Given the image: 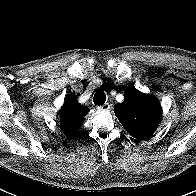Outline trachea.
<instances>
[{
    "label": "trachea",
    "instance_id": "trachea-1",
    "mask_svg": "<svg viewBox=\"0 0 196 196\" xmlns=\"http://www.w3.org/2000/svg\"><path fill=\"white\" fill-rule=\"evenodd\" d=\"M94 104L103 105L106 101V94L102 90H98L93 98Z\"/></svg>",
    "mask_w": 196,
    "mask_h": 196
}]
</instances>
